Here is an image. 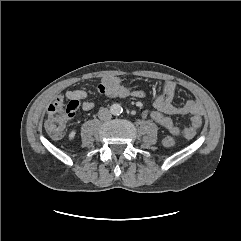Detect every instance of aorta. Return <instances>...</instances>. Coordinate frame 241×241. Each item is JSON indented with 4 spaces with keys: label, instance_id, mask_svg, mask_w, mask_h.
Instances as JSON below:
<instances>
[{
    "label": "aorta",
    "instance_id": "aorta-1",
    "mask_svg": "<svg viewBox=\"0 0 241 241\" xmlns=\"http://www.w3.org/2000/svg\"><path fill=\"white\" fill-rule=\"evenodd\" d=\"M111 110L114 115H119L122 112V107L119 104H114Z\"/></svg>",
    "mask_w": 241,
    "mask_h": 241
}]
</instances>
